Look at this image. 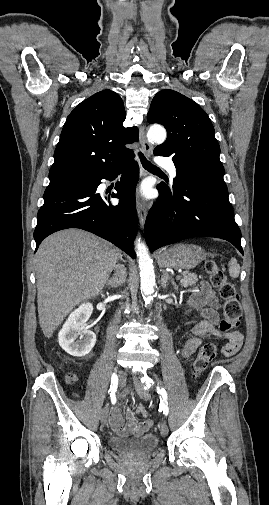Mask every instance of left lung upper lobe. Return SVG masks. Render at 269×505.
<instances>
[{
    "label": "left lung upper lobe",
    "mask_w": 269,
    "mask_h": 505,
    "mask_svg": "<svg viewBox=\"0 0 269 505\" xmlns=\"http://www.w3.org/2000/svg\"><path fill=\"white\" fill-rule=\"evenodd\" d=\"M147 120L167 130L168 137L154 149L155 155L172 157L176 168L195 167L224 175L211 120L193 100L174 90H161L152 100Z\"/></svg>",
    "instance_id": "obj_1"
}]
</instances>
